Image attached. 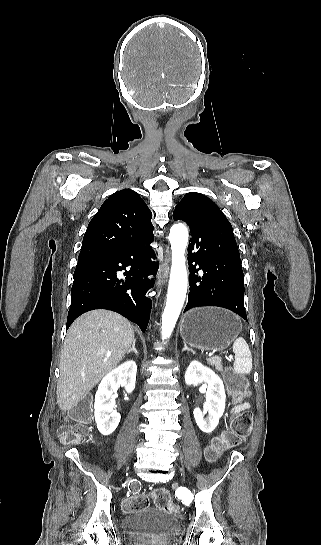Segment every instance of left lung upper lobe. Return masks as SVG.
Instances as JSON below:
<instances>
[{
  "label": "left lung upper lobe",
  "instance_id": "obj_1",
  "mask_svg": "<svg viewBox=\"0 0 321 545\" xmlns=\"http://www.w3.org/2000/svg\"><path fill=\"white\" fill-rule=\"evenodd\" d=\"M212 213L222 212L210 198L201 193L190 192L177 204L173 218L178 216L198 217Z\"/></svg>",
  "mask_w": 321,
  "mask_h": 545
}]
</instances>
